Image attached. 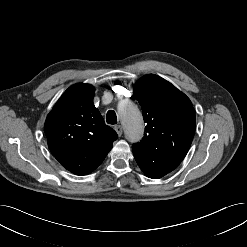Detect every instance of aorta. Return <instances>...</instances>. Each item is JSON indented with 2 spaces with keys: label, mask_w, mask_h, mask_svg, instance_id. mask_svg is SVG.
<instances>
[{
  "label": "aorta",
  "mask_w": 247,
  "mask_h": 247,
  "mask_svg": "<svg viewBox=\"0 0 247 247\" xmlns=\"http://www.w3.org/2000/svg\"><path fill=\"white\" fill-rule=\"evenodd\" d=\"M118 113L121 118L126 138L130 142L139 141L144 133V124L140 111L129 100L119 103Z\"/></svg>",
  "instance_id": "1"
}]
</instances>
